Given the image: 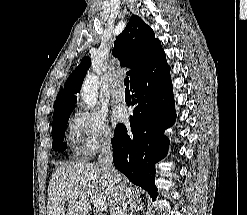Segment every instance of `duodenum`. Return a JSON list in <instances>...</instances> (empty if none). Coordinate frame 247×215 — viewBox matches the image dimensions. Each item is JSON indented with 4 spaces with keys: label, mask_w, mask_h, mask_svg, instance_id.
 I'll use <instances>...</instances> for the list:
<instances>
[{
    "label": "duodenum",
    "mask_w": 247,
    "mask_h": 215,
    "mask_svg": "<svg viewBox=\"0 0 247 215\" xmlns=\"http://www.w3.org/2000/svg\"><path fill=\"white\" fill-rule=\"evenodd\" d=\"M89 215H97V214L91 213V214H89Z\"/></svg>",
    "instance_id": "obj_1"
}]
</instances>
